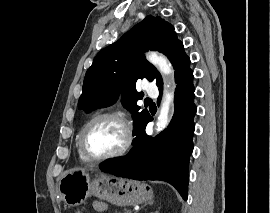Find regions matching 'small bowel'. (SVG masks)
Wrapping results in <instances>:
<instances>
[{
  "mask_svg": "<svg viewBox=\"0 0 270 213\" xmlns=\"http://www.w3.org/2000/svg\"><path fill=\"white\" fill-rule=\"evenodd\" d=\"M94 207L96 208L97 213H105L107 210V207L101 202H96Z\"/></svg>",
  "mask_w": 270,
  "mask_h": 213,
  "instance_id": "1",
  "label": "small bowel"
}]
</instances>
